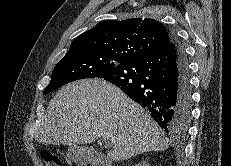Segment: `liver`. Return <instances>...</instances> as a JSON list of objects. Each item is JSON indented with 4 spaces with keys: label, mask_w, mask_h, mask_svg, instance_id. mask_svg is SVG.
Listing matches in <instances>:
<instances>
[{
    "label": "liver",
    "mask_w": 231,
    "mask_h": 166,
    "mask_svg": "<svg viewBox=\"0 0 231 166\" xmlns=\"http://www.w3.org/2000/svg\"><path fill=\"white\" fill-rule=\"evenodd\" d=\"M109 139L107 156L123 161L137 154L164 151L169 143L150 114L115 85L84 79L62 87L50 101L36 139L68 146Z\"/></svg>",
    "instance_id": "1"
}]
</instances>
